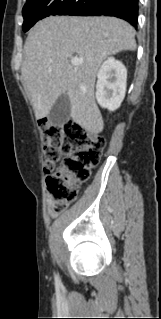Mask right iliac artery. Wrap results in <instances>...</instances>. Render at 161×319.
Listing matches in <instances>:
<instances>
[{
    "mask_svg": "<svg viewBox=\"0 0 161 319\" xmlns=\"http://www.w3.org/2000/svg\"><path fill=\"white\" fill-rule=\"evenodd\" d=\"M55 281L59 282V277L57 275H55Z\"/></svg>",
    "mask_w": 161,
    "mask_h": 319,
    "instance_id": "82829eb1",
    "label": "right iliac artery"
}]
</instances>
